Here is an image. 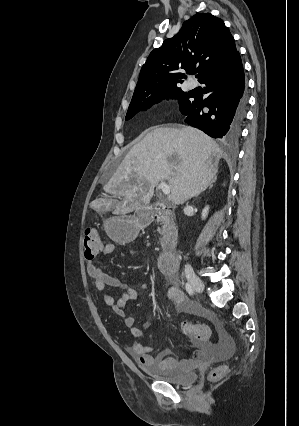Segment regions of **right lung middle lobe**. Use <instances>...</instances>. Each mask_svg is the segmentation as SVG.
<instances>
[{
    "mask_svg": "<svg viewBox=\"0 0 299 426\" xmlns=\"http://www.w3.org/2000/svg\"><path fill=\"white\" fill-rule=\"evenodd\" d=\"M192 97L193 95L183 92L178 86L150 94L142 99L131 101L125 120L131 119L138 112L146 110L151 105L168 98L178 99L181 111L190 104Z\"/></svg>",
    "mask_w": 299,
    "mask_h": 426,
    "instance_id": "dd1d6c3e",
    "label": "right lung middle lobe"
}]
</instances>
